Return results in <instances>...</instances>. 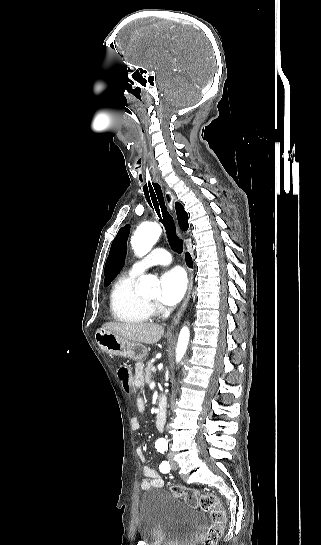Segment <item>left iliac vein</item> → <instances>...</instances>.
I'll list each match as a JSON object with an SVG mask.
<instances>
[{
    "mask_svg": "<svg viewBox=\"0 0 321 545\" xmlns=\"http://www.w3.org/2000/svg\"><path fill=\"white\" fill-rule=\"evenodd\" d=\"M168 460L171 464V469L172 470H177L178 469V464L177 462L173 459V457L171 455H168Z\"/></svg>",
    "mask_w": 321,
    "mask_h": 545,
    "instance_id": "4c4485c4",
    "label": "left iliac vein"
}]
</instances>
